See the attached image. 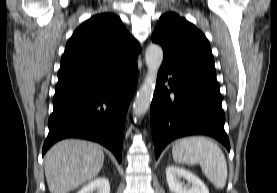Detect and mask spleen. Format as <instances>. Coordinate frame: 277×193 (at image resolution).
I'll return each mask as SVG.
<instances>
[{
  "mask_svg": "<svg viewBox=\"0 0 277 193\" xmlns=\"http://www.w3.org/2000/svg\"><path fill=\"white\" fill-rule=\"evenodd\" d=\"M175 162L200 164L204 175L217 188L223 189L228 176L227 162L220 147L203 136L177 140L172 148Z\"/></svg>",
  "mask_w": 277,
  "mask_h": 193,
  "instance_id": "3e777b00",
  "label": "spleen"
}]
</instances>
